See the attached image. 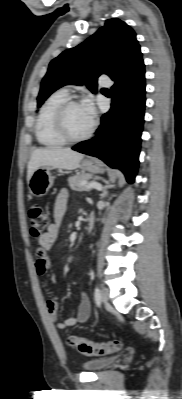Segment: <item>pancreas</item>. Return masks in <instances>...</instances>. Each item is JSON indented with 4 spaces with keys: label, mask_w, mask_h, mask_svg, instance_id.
I'll return each mask as SVG.
<instances>
[{
    "label": "pancreas",
    "mask_w": 182,
    "mask_h": 399,
    "mask_svg": "<svg viewBox=\"0 0 182 399\" xmlns=\"http://www.w3.org/2000/svg\"><path fill=\"white\" fill-rule=\"evenodd\" d=\"M90 174H81V175H75L72 176L68 179L69 186L72 190L75 191H84L88 190L87 189V183H85L87 180L91 179Z\"/></svg>",
    "instance_id": "obj_1"
}]
</instances>
